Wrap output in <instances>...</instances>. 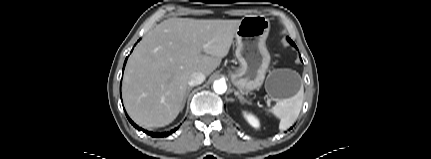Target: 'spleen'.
Returning <instances> with one entry per match:
<instances>
[{"label": "spleen", "mask_w": 431, "mask_h": 159, "mask_svg": "<svg viewBox=\"0 0 431 159\" xmlns=\"http://www.w3.org/2000/svg\"><path fill=\"white\" fill-rule=\"evenodd\" d=\"M304 100V89L301 87L300 91L293 97L288 99L279 100L271 109L277 118L280 119L279 129H288L298 118Z\"/></svg>", "instance_id": "obj_1"}]
</instances>
